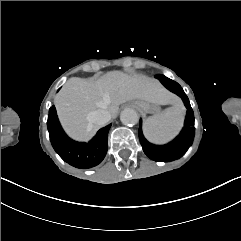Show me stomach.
I'll list each match as a JSON object with an SVG mask.
<instances>
[{"mask_svg": "<svg viewBox=\"0 0 241 241\" xmlns=\"http://www.w3.org/2000/svg\"><path fill=\"white\" fill-rule=\"evenodd\" d=\"M134 104L139 107L141 110H143L144 112H157L158 108L155 104H151L148 101H144V100H137L134 102Z\"/></svg>", "mask_w": 241, "mask_h": 241, "instance_id": "obj_1", "label": "stomach"}]
</instances>
